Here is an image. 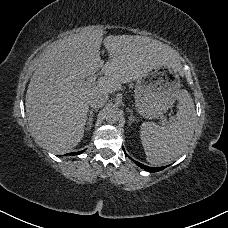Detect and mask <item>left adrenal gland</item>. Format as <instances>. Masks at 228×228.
Returning a JSON list of instances; mask_svg holds the SVG:
<instances>
[{
  "label": "left adrenal gland",
  "mask_w": 228,
  "mask_h": 228,
  "mask_svg": "<svg viewBox=\"0 0 228 228\" xmlns=\"http://www.w3.org/2000/svg\"><path fill=\"white\" fill-rule=\"evenodd\" d=\"M129 112H130V116L128 118L129 119L128 125L131 126L132 122H135L137 120L135 119V117L133 115V111L132 110H129Z\"/></svg>",
  "instance_id": "left-adrenal-gland-1"
}]
</instances>
